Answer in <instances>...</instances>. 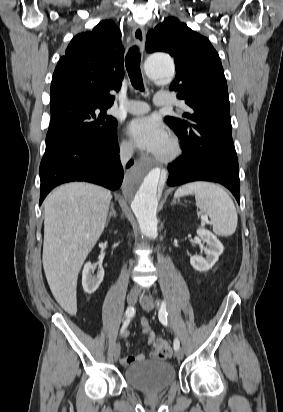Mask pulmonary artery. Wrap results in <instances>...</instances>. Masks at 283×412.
<instances>
[{
  "label": "pulmonary artery",
  "mask_w": 283,
  "mask_h": 412,
  "mask_svg": "<svg viewBox=\"0 0 283 412\" xmlns=\"http://www.w3.org/2000/svg\"><path fill=\"white\" fill-rule=\"evenodd\" d=\"M154 103L157 106H168L173 103V95L169 92L159 93L154 98ZM126 109L131 114H144L149 110L146 102L140 100H129Z\"/></svg>",
  "instance_id": "obj_1"
}]
</instances>
